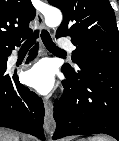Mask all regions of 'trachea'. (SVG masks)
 <instances>
[{"label":"trachea","mask_w":119,"mask_h":141,"mask_svg":"<svg viewBox=\"0 0 119 141\" xmlns=\"http://www.w3.org/2000/svg\"><path fill=\"white\" fill-rule=\"evenodd\" d=\"M38 36V31H35V35L30 37L29 39H27L24 44L22 45L21 49H29L30 47H32L35 43V39ZM41 38L42 41L44 43V45L46 46V48L51 51V52H58V53H62L64 52V50L60 49L59 47H57L54 42L51 39L50 34L46 31V30H42L41 32Z\"/></svg>","instance_id":"obj_1"}]
</instances>
